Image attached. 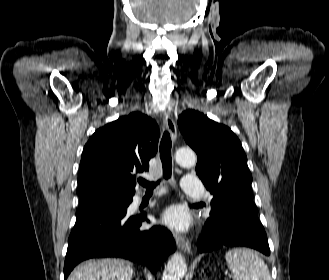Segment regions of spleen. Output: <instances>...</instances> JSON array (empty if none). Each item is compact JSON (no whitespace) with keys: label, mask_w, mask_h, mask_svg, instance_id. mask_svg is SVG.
Here are the masks:
<instances>
[{"label":"spleen","mask_w":329,"mask_h":280,"mask_svg":"<svg viewBox=\"0 0 329 280\" xmlns=\"http://www.w3.org/2000/svg\"><path fill=\"white\" fill-rule=\"evenodd\" d=\"M225 259L233 273V280H272L267 265L250 249H231Z\"/></svg>","instance_id":"1"}]
</instances>
